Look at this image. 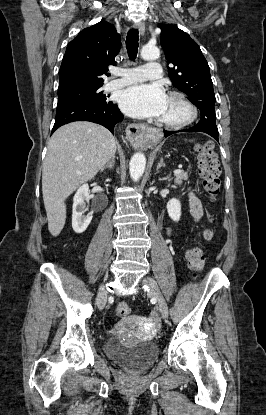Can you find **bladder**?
I'll return each mask as SVG.
<instances>
[{"label": "bladder", "mask_w": 266, "mask_h": 415, "mask_svg": "<svg viewBox=\"0 0 266 415\" xmlns=\"http://www.w3.org/2000/svg\"><path fill=\"white\" fill-rule=\"evenodd\" d=\"M103 349L110 359L132 371H142L148 368L159 355V347L153 341H140L127 345L117 337L108 338Z\"/></svg>", "instance_id": "31cf9c89"}]
</instances>
